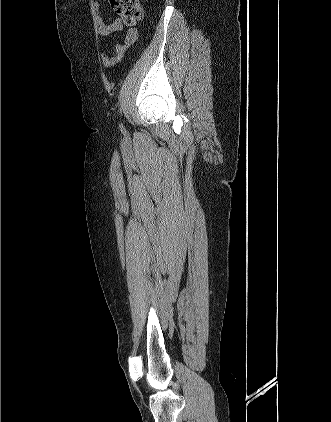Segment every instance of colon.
Here are the masks:
<instances>
[{
    "label": "colon",
    "mask_w": 331,
    "mask_h": 422,
    "mask_svg": "<svg viewBox=\"0 0 331 422\" xmlns=\"http://www.w3.org/2000/svg\"><path fill=\"white\" fill-rule=\"evenodd\" d=\"M109 3L127 25H134L143 17L139 0H109Z\"/></svg>",
    "instance_id": "obj_1"
}]
</instances>
